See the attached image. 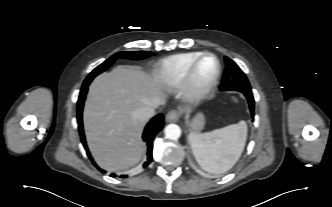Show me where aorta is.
Segmentation results:
<instances>
[{
    "instance_id": "1",
    "label": "aorta",
    "mask_w": 332,
    "mask_h": 207,
    "mask_svg": "<svg viewBox=\"0 0 332 207\" xmlns=\"http://www.w3.org/2000/svg\"><path fill=\"white\" fill-rule=\"evenodd\" d=\"M165 136L170 140H177L181 136V129L176 124H169L165 127Z\"/></svg>"
}]
</instances>
